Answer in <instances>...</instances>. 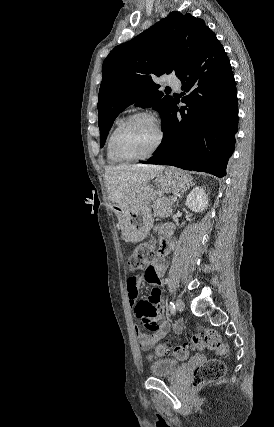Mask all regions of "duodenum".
<instances>
[{
	"instance_id": "1",
	"label": "duodenum",
	"mask_w": 274,
	"mask_h": 427,
	"mask_svg": "<svg viewBox=\"0 0 274 427\" xmlns=\"http://www.w3.org/2000/svg\"><path fill=\"white\" fill-rule=\"evenodd\" d=\"M171 233L172 228L171 227H165L162 231V241H161V247H160V254H166L170 250L171 246Z\"/></svg>"
}]
</instances>
